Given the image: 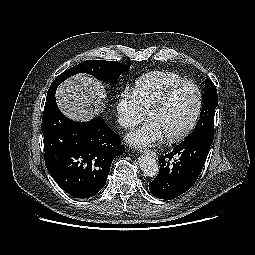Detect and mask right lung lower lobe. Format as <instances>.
Wrapping results in <instances>:
<instances>
[{
	"label": "right lung lower lobe",
	"mask_w": 255,
	"mask_h": 255,
	"mask_svg": "<svg viewBox=\"0 0 255 255\" xmlns=\"http://www.w3.org/2000/svg\"><path fill=\"white\" fill-rule=\"evenodd\" d=\"M56 89L47 93L42 118L45 164L65 192L89 198L104 187L113 159L125 148L102 118L75 122L65 117L56 104Z\"/></svg>",
	"instance_id": "1"
}]
</instances>
